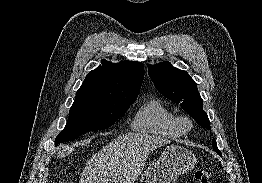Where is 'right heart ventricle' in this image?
Listing matches in <instances>:
<instances>
[{
  "instance_id": "obj_1",
  "label": "right heart ventricle",
  "mask_w": 262,
  "mask_h": 183,
  "mask_svg": "<svg viewBox=\"0 0 262 183\" xmlns=\"http://www.w3.org/2000/svg\"><path fill=\"white\" fill-rule=\"evenodd\" d=\"M132 128L136 131L165 138H179L184 130L176 114L158 99H150L136 112Z\"/></svg>"
}]
</instances>
